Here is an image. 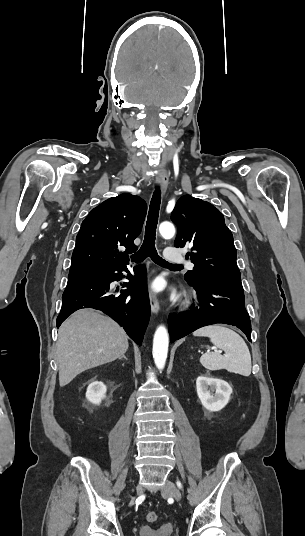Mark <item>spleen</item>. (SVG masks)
<instances>
[{"instance_id": "obj_1", "label": "spleen", "mask_w": 305, "mask_h": 536, "mask_svg": "<svg viewBox=\"0 0 305 536\" xmlns=\"http://www.w3.org/2000/svg\"><path fill=\"white\" fill-rule=\"evenodd\" d=\"M193 336H206L210 338V342L224 350L225 356L217 354V352H206L200 358V364L210 370V372H216V370H227V372H233V374H240V376H250L251 374V356L250 352L241 336L229 330V328H223L221 324H215V326H205L193 332Z\"/></svg>"}]
</instances>
